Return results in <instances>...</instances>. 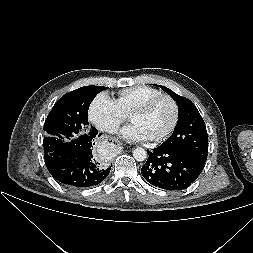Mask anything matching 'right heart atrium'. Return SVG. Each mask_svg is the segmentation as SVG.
<instances>
[{
    "label": "right heart atrium",
    "instance_id": "d8ad5b80",
    "mask_svg": "<svg viewBox=\"0 0 253 253\" xmlns=\"http://www.w3.org/2000/svg\"><path fill=\"white\" fill-rule=\"evenodd\" d=\"M88 116L97 129L109 134L116 133L127 118L116 101L106 93L95 96L90 104Z\"/></svg>",
    "mask_w": 253,
    "mask_h": 253
}]
</instances>
